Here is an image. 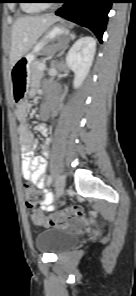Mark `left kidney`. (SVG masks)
<instances>
[{"label": "left kidney", "instance_id": "5707ae66", "mask_svg": "<svg viewBox=\"0 0 136 296\" xmlns=\"http://www.w3.org/2000/svg\"><path fill=\"white\" fill-rule=\"evenodd\" d=\"M96 51V41L91 36L78 39L66 56L67 66L75 73L73 86L79 88L85 80Z\"/></svg>", "mask_w": 136, "mask_h": 296}]
</instances>
